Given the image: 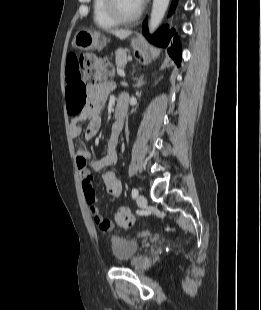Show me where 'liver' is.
<instances>
[{"instance_id":"6515ba94","label":"liver","mask_w":261,"mask_h":310,"mask_svg":"<svg viewBox=\"0 0 261 310\" xmlns=\"http://www.w3.org/2000/svg\"><path fill=\"white\" fill-rule=\"evenodd\" d=\"M111 33L113 35H115L116 37H118L119 39L124 40L132 34V31H130V30H114V31H111Z\"/></svg>"}]
</instances>
